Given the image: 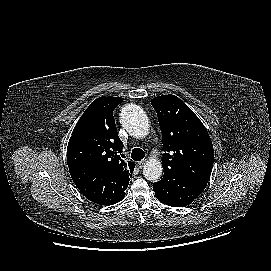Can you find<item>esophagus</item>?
Listing matches in <instances>:
<instances>
[{
	"mask_svg": "<svg viewBox=\"0 0 271 271\" xmlns=\"http://www.w3.org/2000/svg\"><path fill=\"white\" fill-rule=\"evenodd\" d=\"M145 163H146V160H142V161L138 162V167L140 169L143 168V166L145 165Z\"/></svg>",
	"mask_w": 271,
	"mask_h": 271,
	"instance_id": "34e87169",
	"label": "esophagus"
}]
</instances>
